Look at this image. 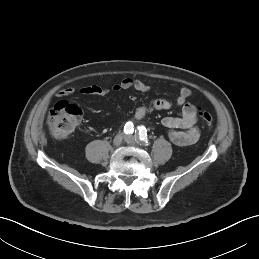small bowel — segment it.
Instances as JSON below:
<instances>
[{
	"instance_id": "c3829d8e",
	"label": "small bowel",
	"mask_w": 259,
	"mask_h": 259,
	"mask_svg": "<svg viewBox=\"0 0 259 259\" xmlns=\"http://www.w3.org/2000/svg\"><path fill=\"white\" fill-rule=\"evenodd\" d=\"M134 89L139 92H149L151 86L146 82L139 79L124 78L119 83L115 84L111 90L102 87L100 85H87L80 88L66 87L60 89L57 95L60 97L73 96L76 93L85 96H106L110 91L118 93L124 90ZM193 92L188 87H181L178 90L175 105L181 107V115L174 117L168 116L163 119V125L167 127L168 138L176 146H188L192 145L199 139L200 130L197 125L198 115L196 107L188 100L192 97ZM174 103L164 99L158 98L152 102L150 106H139L134 114L136 120L143 119L150 109L167 111L172 109Z\"/></svg>"
}]
</instances>
